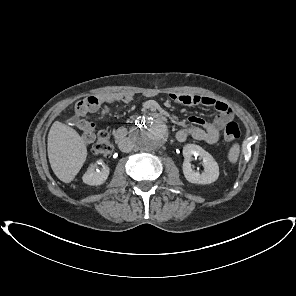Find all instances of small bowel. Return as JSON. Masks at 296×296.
I'll use <instances>...</instances> for the list:
<instances>
[{
  "label": "small bowel",
  "instance_id": "c3829d8e",
  "mask_svg": "<svg viewBox=\"0 0 296 296\" xmlns=\"http://www.w3.org/2000/svg\"><path fill=\"white\" fill-rule=\"evenodd\" d=\"M169 96L173 101L180 104L203 105L212 107L218 112V115L211 121L198 116H191L189 125L176 133V138L180 142L192 138L207 144H213L217 142L220 131L234 118L232 108L214 98L188 93H172ZM131 98V95L127 93H100L80 101L75 111L77 116L76 125L81 131L82 140L90 144L96 136L94 123L85 118L88 113L101 111L106 104L129 102Z\"/></svg>",
  "mask_w": 296,
  "mask_h": 296
}]
</instances>
